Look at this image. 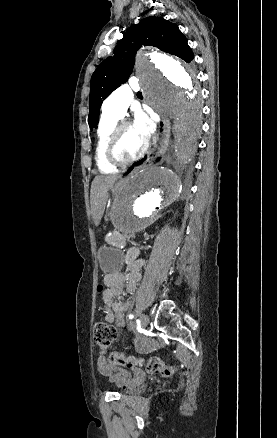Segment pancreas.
Returning a JSON list of instances; mask_svg holds the SVG:
<instances>
[{"label": "pancreas", "instance_id": "1", "mask_svg": "<svg viewBox=\"0 0 277 438\" xmlns=\"http://www.w3.org/2000/svg\"><path fill=\"white\" fill-rule=\"evenodd\" d=\"M104 241L106 244H111L113 248H122L124 244H127V235H119L118 231H109L105 236Z\"/></svg>", "mask_w": 277, "mask_h": 438}]
</instances>
